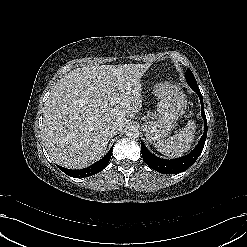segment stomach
Here are the masks:
<instances>
[{"label": "stomach", "mask_w": 247, "mask_h": 247, "mask_svg": "<svg viewBox=\"0 0 247 247\" xmlns=\"http://www.w3.org/2000/svg\"><path fill=\"white\" fill-rule=\"evenodd\" d=\"M155 94L159 102L157 115L154 120L144 124L143 130L149 142L164 140L175 123L185 113L187 102L185 94L177 87L168 83H159L155 86Z\"/></svg>", "instance_id": "stomach-1"}]
</instances>
